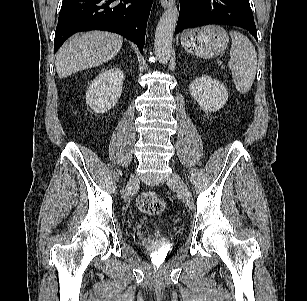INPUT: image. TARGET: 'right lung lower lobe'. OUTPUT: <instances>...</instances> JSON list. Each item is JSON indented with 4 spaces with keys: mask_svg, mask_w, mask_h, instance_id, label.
I'll list each match as a JSON object with an SVG mask.
<instances>
[{
    "mask_svg": "<svg viewBox=\"0 0 307 301\" xmlns=\"http://www.w3.org/2000/svg\"><path fill=\"white\" fill-rule=\"evenodd\" d=\"M152 0H63L54 52L72 34L107 30L133 41L143 52Z\"/></svg>",
    "mask_w": 307,
    "mask_h": 301,
    "instance_id": "98d812e1",
    "label": "right lung lower lobe"
}]
</instances>
